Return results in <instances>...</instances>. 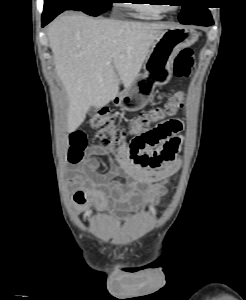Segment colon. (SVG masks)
<instances>
[{
	"label": "colon",
	"mask_w": 246,
	"mask_h": 300,
	"mask_svg": "<svg viewBox=\"0 0 246 300\" xmlns=\"http://www.w3.org/2000/svg\"><path fill=\"white\" fill-rule=\"evenodd\" d=\"M193 65V52L182 50L175 58L172 73L178 78L188 77ZM184 94L179 91L171 95L163 106L139 113L127 126H118L113 114L106 109L95 111L90 117V126L97 131L99 142L103 146L119 147L128 145L133 153H141L139 162L146 166H157L161 158L150 155L151 151L171 141L181 129V122L168 119L183 108ZM157 123L156 126L150 127ZM70 161L82 160L87 145L83 133H75L70 138Z\"/></svg>",
	"instance_id": "obj_1"
}]
</instances>
